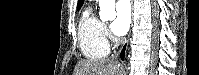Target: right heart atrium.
<instances>
[{"instance_id": "right-heart-atrium-1", "label": "right heart atrium", "mask_w": 199, "mask_h": 75, "mask_svg": "<svg viewBox=\"0 0 199 75\" xmlns=\"http://www.w3.org/2000/svg\"><path fill=\"white\" fill-rule=\"evenodd\" d=\"M103 34H104L106 41L112 39L110 31L108 30V27L106 25H103Z\"/></svg>"}]
</instances>
